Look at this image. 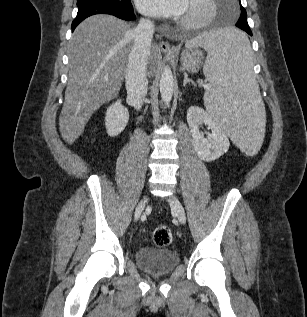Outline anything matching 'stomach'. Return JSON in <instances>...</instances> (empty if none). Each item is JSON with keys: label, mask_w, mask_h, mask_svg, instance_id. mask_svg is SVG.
<instances>
[{"label": "stomach", "mask_w": 307, "mask_h": 317, "mask_svg": "<svg viewBox=\"0 0 307 317\" xmlns=\"http://www.w3.org/2000/svg\"><path fill=\"white\" fill-rule=\"evenodd\" d=\"M202 52L195 49L186 50L181 55L183 67L191 73H197L202 63Z\"/></svg>", "instance_id": "obj_1"}]
</instances>
